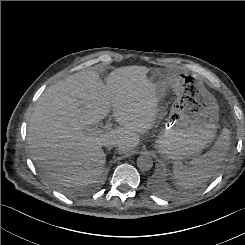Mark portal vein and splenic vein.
I'll use <instances>...</instances> for the list:
<instances>
[{
    "label": "portal vein and splenic vein",
    "mask_w": 245,
    "mask_h": 245,
    "mask_svg": "<svg viewBox=\"0 0 245 245\" xmlns=\"http://www.w3.org/2000/svg\"><path fill=\"white\" fill-rule=\"evenodd\" d=\"M105 130H110L112 128V123L107 122L106 125L103 127ZM100 129L96 126L94 128H91L90 131L98 132Z\"/></svg>",
    "instance_id": "portal-vein-and-splenic-vein-1"
}]
</instances>
